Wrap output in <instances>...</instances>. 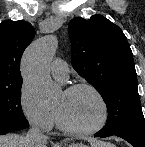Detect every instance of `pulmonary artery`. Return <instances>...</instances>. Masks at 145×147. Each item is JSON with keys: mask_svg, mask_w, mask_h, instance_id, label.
Listing matches in <instances>:
<instances>
[{"mask_svg": "<svg viewBox=\"0 0 145 147\" xmlns=\"http://www.w3.org/2000/svg\"><path fill=\"white\" fill-rule=\"evenodd\" d=\"M50 70L52 75L58 80L64 81L68 77V65L60 58L52 61Z\"/></svg>", "mask_w": 145, "mask_h": 147, "instance_id": "pulmonary-artery-1", "label": "pulmonary artery"}]
</instances>
